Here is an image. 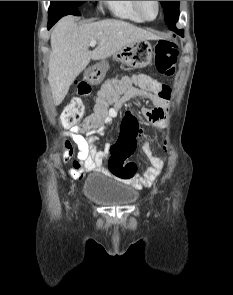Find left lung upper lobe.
<instances>
[{
  "mask_svg": "<svg viewBox=\"0 0 233 295\" xmlns=\"http://www.w3.org/2000/svg\"><path fill=\"white\" fill-rule=\"evenodd\" d=\"M164 10L165 22L168 27L174 26L179 19L180 1H160Z\"/></svg>",
  "mask_w": 233,
  "mask_h": 295,
  "instance_id": "obj_1",
  "label": "left lung upper lobe"
}]
</instances>
